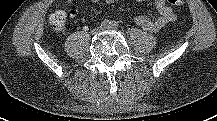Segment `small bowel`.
Segmentation results:
<instances>
[{
    "label": "small bowel",
    "mask_w": 217,
    "mask_h": 121,
    "mask_svg": "<svg viewBox=\"0 0 217 121\" xmlns=\"http://www.w3.org/2000/svg\"><path fill=\"white\" fill-rule=\"evenodd\" d=\"M92 2H98L99 0H91ZM107 4H112L118 0H104ZM137 2H143L146 0H136ZM156 8L159 12V16L156 18H150L146 15H138L135 17V23L149 32H156L166 24L174 21L175 13L172 7L167 3V0H154ZM68 3H72L73 0H67ZM69 16L75 18L77 16V11L71 9L69 11Z\"/></svg>",
    "instance_id": "1"
}]
</instances>
